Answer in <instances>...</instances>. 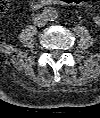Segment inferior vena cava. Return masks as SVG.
<instances>
[{
  "label": "inferior vena cava",
  "instance_id": "602c4592",
  "mask_svg": "<svg viewBox=\"0 0 100 118\" xmlns=\"http://www.w3.org/2000/svg\"><path fill=\"white\" fill-rule=\"evenodd\" d=\"M33 24L38 27H42L47 23L46 18L44 17L43 14H36L33 17Z\"/></svg>",
  "mask_w": 100,
  "mask_h": 118
}]
</instances>
